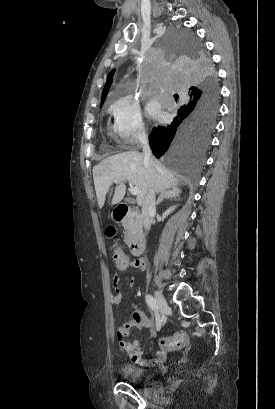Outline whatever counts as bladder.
<instances>
[{
    "instance_id": "bladder-1",
    "label": "bladder",
    "mask_w": 275,
    "mask_h": 409,
    "mask_svg": "<svg viewBox=\"0 0 275 409\" xmlns=\"http://www.w3.org/2000/svg\"><path fill=\"white\" fill-rule=\"evenodd\" d=\"M124 380L130 383L152 382L153 376L149 368H143L135 363H125L121 368Z\"/></svg>"
}]
</instances>
